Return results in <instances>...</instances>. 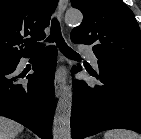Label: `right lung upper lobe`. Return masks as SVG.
Masks as SVG:
<instances>
[{"instance_id": "right-lung-upper-lobe-1", "label": "right lung upper lobe", "mask_w": 141, "mask_h": 139, "mask_svg": "<svg viewBox=\"0 0 141 139\" xmlns=\"http://www.w3.org/2000/svg\"><path fill=\"white\" fill-rule=\"evenodd\" d=\"M58 0H0V57L17 59L43 47ZM26 36L30 38L24 39Z\"/></svg>"}]
</instances>
